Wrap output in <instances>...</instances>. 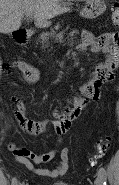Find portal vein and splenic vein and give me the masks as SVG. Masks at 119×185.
Instances as JSON below:
<instances>
[{
	"label": "portal vein and splenic vein",
	"mask_w": 119,
	"mask_h": 185,
	"mask_svg": "<svg viewBox=\"0 0 119 185\" xmlns=\"http://www.w3.org/2000/svg\"><path fill=\"white\" fill-rule=\"evenodd\" d=\"M29 15H30L29 13H26V16H29ZM62 35H63V32L57 34L56 39L57 38H62Z\"/></svg>",
	"instance_id": "obj_1"
}]
</instances>
